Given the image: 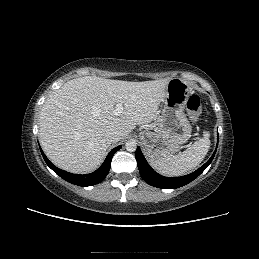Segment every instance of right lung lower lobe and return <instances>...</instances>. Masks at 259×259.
Returning <instances> with one entry per match:
<instances>
[{"label":"right lung lower lobe","mask_w":259,"mask_h":259,"mask_svg":"<svg viewBox=\"0 0 259 259\" xmlns=\"http://www.w3.org/2000/svg\"><path fill=\"white\" fill-rule=\"evenodd\" d=\"M120 148L121 146H117L114 149H112L107 155L103 164L96 171L86 175L72 174L57 168L47 159L43 151L41 149L40 150L45 162L56 174H58L61 178L72 184L86 187L98 184L104 180V178L107 176L110 170L112 157Z\"/></svg>","instance_id":"obj_1"}]
</instances>
